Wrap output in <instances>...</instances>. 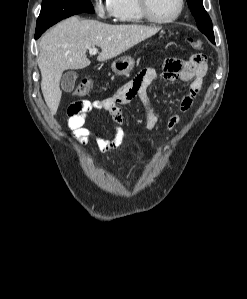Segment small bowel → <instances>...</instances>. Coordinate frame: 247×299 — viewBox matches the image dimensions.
<instances>
[{"label":"small bowel","mask_w":247,"mask_h":299,"mask_svg":"<svg viewBox=\"0 0 247 299\" xmlns=\"http://www.w3.org/2000/svg\"><path fill=\"white\" fill-rule=\"evenodd\" d=\"M206 68V58L202 54L193 55L188 61L173 58L165 62L160 74L162 79L170 82L177 79L182 82H190L188 93L179 99V107L182 111H187L192 106L200 92ZM156 77L155 69L146 68L140 71L132 81L125 84L113 97L72 103L68 107L67 113L68 127L72 131L74 139L80 144L88 143L93 133L86 127L87 117L94 110H104L110 115L113 122V136L111 139H106L95 135L97 147L102 152L122 151L124 118L120 105L128 104L136 97L144 106L146 128L155 129L159 124V118L152 110L147 91ZM178 120L177 114H171L167 120L168 129L173 130L178 124Z\"/></svg>","instance_id":"1"}]
</instances>
